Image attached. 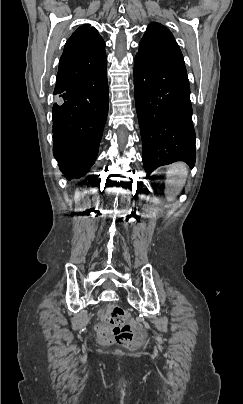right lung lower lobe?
Here are the masks:
<instances>
[{
    "label": "right lung lower lobe",
    "mask_w": 243,
    "mask_h": 404,
    "mask_svg": "<svg viewBox=\"0 0 243 404\" xmlns=\"http://www.w3.org/2000/svg\"><path fill=\"white\" fill-rule=\"evenodd\" d=\"M54 95L53 153L67 179H78L98 154L109 104L107 68Z\"/></svg>",
    "instance_id": "98d812e1"
}]
</instances>
